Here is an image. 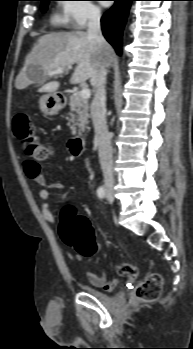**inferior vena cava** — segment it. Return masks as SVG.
Returning <instances> with one entry per match:
<instances>
[{
	"label": "inferior vena cava",
	"mask_w": 193,
	"mask_h": 349,
	"mask_svg": "<svg viewBox=\"0 0 193 349\" xmlns=\"http://www.w3.org/2000/svg\"><path fill=\"white\" fill-rule=\"evenodd\" d=\"M100 10L92 8L88 16V35L93 38L97 44L103 45L106 43L100 25ZM106 75L107 70L102 66L98 76L94 81L96 94L91 103V117L95 130V142L98 145L99 161L104 176L106 186L114 184L113 175V150L111 146V136L108 132L106 124Z\"/></svg>",
	"instance_id": "obj_1"
}]
</instances>
